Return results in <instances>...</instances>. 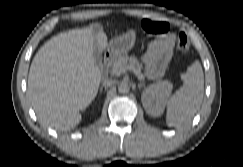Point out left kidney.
<instances>
[{"mask_svg": "<svg viewBox=\"0 0 243 167\" xmlns=\"http://www.w3.org/2000/svg\"><path fill=\"white\" fill-rule=\"evenodd\" d=\"M172 91V84L160 82L147 87L142 95V103L147 113L160 116Z\"/></svg>", "mask_w": 243, "mask_h": 167, "instance_id": "5707ae66", "label": "left kidney"}]
</instances>
